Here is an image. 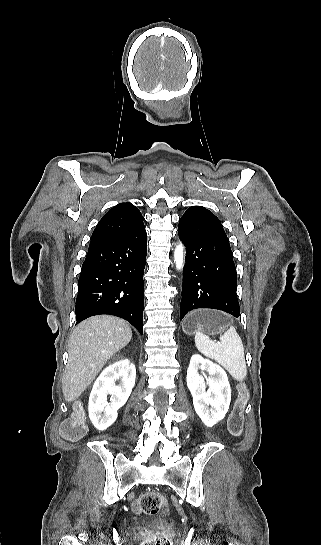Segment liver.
Listing matches in <instances>:
<instances>
[{"label":"liver","mask_w":321,"mask_h":545,"mask_svg":"<svg viewBox=\"0 0 321 545\" xmlns=\"http://www.w3.org/2000/svg\"><path fill=\"white\" fill-rule=\"evenodd\" d=\"M132 331L123 319L98 315L80 323L68 343V363L62 379L65 401H76L91 385L108 359L131 341Z\"/></svg>","instance_id":"liver-1"}]
</instances>
